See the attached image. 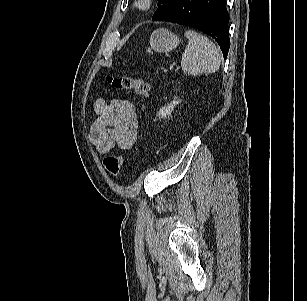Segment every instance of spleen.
<instances>
[{"instance_id": "3e777b00", "label": "spleen", "mask_w": 307, "mask_h": 301, "mask_svg": "<svg viewBox=\"0 0 307 301\" xmlns=\"http://www.w3.org/2000/svg\"><path fill=\"white\" fill-rule=\"evenodd\" d=\"M188 45L182 55L181 67L184 74L198 76L216 72L221 63L220 51L204 35L188 30L185 32Z\"/></svg>"}]
</instances>
